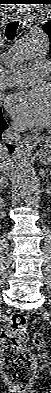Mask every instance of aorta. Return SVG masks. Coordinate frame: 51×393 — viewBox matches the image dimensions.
<instances>
[{"label": "aorta", "instance_id": "obj_1", "mask_svg": "<svg viewBox=\"0 0 51 393\" xmlns=\"http://www.w3.org/2000/svg\"><path fill=\"white\" fill-rule=\"evenodd\" d=\"M50 42L44 31H33L23 35L13 48V57L19 61L33 60L49 53ZM37 140L28 138L19 143L13 153L12 162L22 199L28 206L39 204L40 193L31 156Z\"/></svg>", "mask_w": 51, "mask_h": 393}]
</instances>
